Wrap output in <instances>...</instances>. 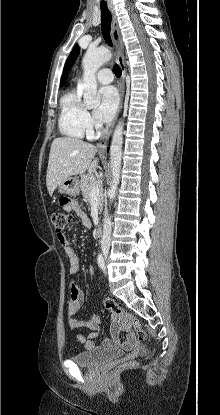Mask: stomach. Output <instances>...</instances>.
Instances as JSON below:
<instances>
[{
    "instance_id": "0dacf381",
    "label": "stomach",
    "mask_w": 220,
    "mask_h": 415,
    "mask_svg": "<svg viewBox=\"0 0 220 415\" xmlns=\"http://www.w3.org/2000/svg\"><path fill=\"white\" fill-rule=\"evenodd\" d=\"M60 193L69 196H77L80 193V181L78 177H69L58 186Z\"/></svg>"
}]
</instances>
